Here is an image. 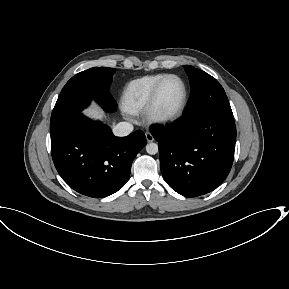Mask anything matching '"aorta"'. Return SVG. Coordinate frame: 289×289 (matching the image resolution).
Segmentation results:
<instances>
[{"mask_svg": "<svg viewBox=\"0 0 289 289\" xmlns=\"http://www.w3.org/2000/svg\"><path fill=\"white\" fill-rule=\"evenodd\" d=\"M158 145L156 143H149L146 145V152L150 155L158 153Z\"/></svg>", "mask_w": 289, "mask_h": 289, "instance_id": "obj_1", "label": "aorta"}]
</instances>
